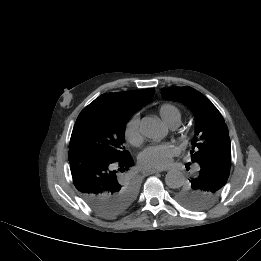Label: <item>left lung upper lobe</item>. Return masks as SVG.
Instances as JSON below:
<instances>
[{"mask_svg":"<svg viewBox=\"0 0 261 261\" xmlns=\"http://www.w3.org/2000/svg\"><path fill=\"white\" fill-rule=\"evenodd\" d=\"M164 98L181 102L189 107L196 117L195 136L192 141L191 160L200 163L212 160L217 167H223L225 161H231V146L227 126L218 109L203 94L191 87L163 88ZM223 186L212 194H206L191 183L180 187L176 200L191 210H204L210 207L220 196Z\"/></svg>","mask_w":261,"mask_h":261,"instance_id":"obj_1","label":"left lung upper lobe"}]
</instances>
